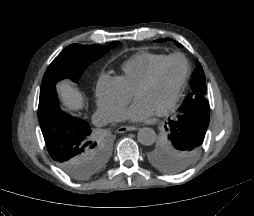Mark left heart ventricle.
I'll list each match as a JSON object with an SVG mask.
<instances>
[{
    "label": "left heart ventricle",
    "mask_w": 254,
    "mask_h": 216,
    "mask_svg": "<svg viewBox=\"0 0 254 216\" xmlns=\"http://www.w3.org/2000/svg\"><path fill=\"white\" fill-rule=\"evenodd\" d=\"M184 69V63L180 59L167 61L154 83L138 92L136 99L147 103L155 112L161 110L174 96L183 77Z\"/></svg>",
    "instance_id": "1"
}]
</instances>
